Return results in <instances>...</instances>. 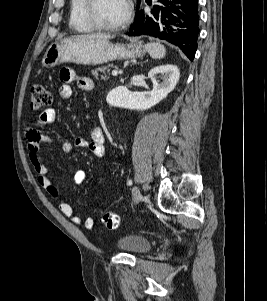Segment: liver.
<instances>
[{"label":"liver","instance_id":"6515ba94","mask_svg":"<svg viewBox=\"0 0 267 301\" xmlns=\"http://www.w3.org/2000/svg\"><path fill=\"white\" fill-rule=\"evenodd\" d=\"M112 37L113 36H111V35L96 33V34L72 36V37H70V39H75V40H80V41L87 40V39H105V40H109Z\"/></svg>","mask_w":267,"mask_h":301}]
</instances>
